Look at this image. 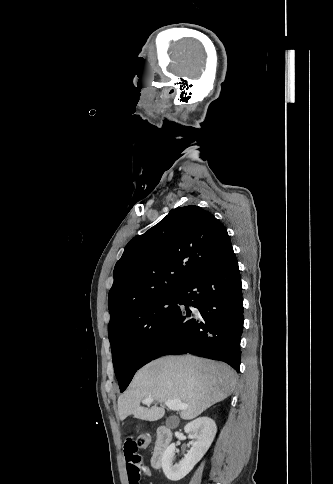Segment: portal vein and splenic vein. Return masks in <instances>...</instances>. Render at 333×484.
Wrapping results in <instances>:
<instances>
[{"label": "portal vein and splenic vein", "mask_w": 333, "mask_h": 484, "mask_svg": "<svg viewBox=\"0 0 333 484\" xmlns=\"http://www.w3.org/2000/svg\"><path fill=\"white\" fill-rule=\"evenodd\" d=\"M153 401L154 399L152 397H147L142 400V403L145 405H150ZM164 404L173 411H179L188 408V405L183 403L180 399H169L166 400Z\"/></svg>", "instance_id": "18ae733b"}]
</instances>
